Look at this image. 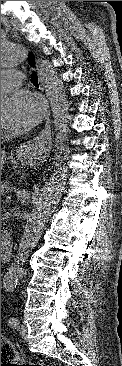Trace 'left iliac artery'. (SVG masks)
<instances>
[{
	"label": "left iliac artery",
	"instance_id": "1",
	"mask_svg": "<svg viewBox=\"0 0 122 366\" xmlns=\"http://www.w3.org/2000/svg\"><path fill=\"white\" fill-rule=\"evenodd\" d=\"M8 323H9V326H11L13 328H16L19 325V320L17 318H15V317H11L8 320Z\"/></svg>",
	"mask_w": 122,
	"mask_h": 366
}]
</instances>
